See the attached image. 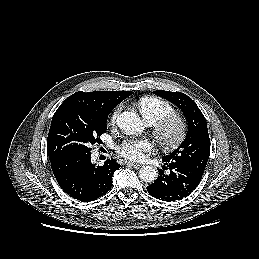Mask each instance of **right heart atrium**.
<instances>
[{
	"label": "right heart atrium",
	"instance_id": "obj_1",
	"mask_svg": "<svg viewBox=\"0 0 259 259\" xmlns=\"http://www.w3.org/2000/svg\"><path fill=\"white\" fill-rule=\"evenodd\" d=\"M119 113H120V108H117V109L112 113V115H111V117H110V122H111V124H114V123L116 122V119H117Z\"/></svg>",
	"mask_w": 259,
	"mask_h": 259
}]
</instances>
